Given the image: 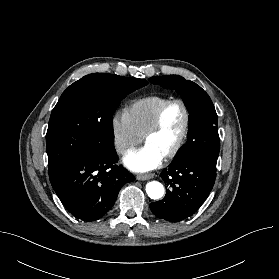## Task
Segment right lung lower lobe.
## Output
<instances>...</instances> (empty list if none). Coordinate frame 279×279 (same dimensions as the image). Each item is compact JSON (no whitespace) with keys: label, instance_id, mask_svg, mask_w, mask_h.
<instances>
[{"label":"right lung lower lobe","instance_id":"1","mask_svg":"<svg viewBox=\"0 0 279 279\" xmlns=\"http://www.w3.org/2000/svg\"><path fill=\"white\" fill-rule=\"evenodd\" d=\"M113 148L102 155H83L50 180L65 208L77 219L91 222L102 218L114 205L119 190L135 178L117 166Z\"/></svg>","mask_w":279,"mask_h":279}]
</instances>
